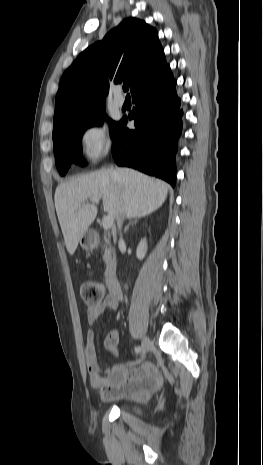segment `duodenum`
<instances>
[{"label": "duodenum", "instance_id": "1", "mask_svg": "<svg viewBox=\"0 0 263 465\" xmlns=\"http://www.w3.org/2000/svg\"><path fill=\"white\" fill-rule=\"evenodd\" d=\"M106 282L110 293L116 297L121 296V286L118 280V277L115 273L113 266H109L107 270Z\"/></svg>", "mask_w": 263, "mask_h": 465}]
</instances>
